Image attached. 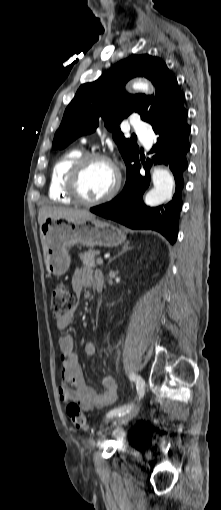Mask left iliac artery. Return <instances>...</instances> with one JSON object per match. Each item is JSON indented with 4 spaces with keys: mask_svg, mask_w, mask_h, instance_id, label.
Returning <instances> with one entry per match:
<instances>
[{
    "mask_svg": "<svg viewBox=\"0 0 221 510\" xmlns=\"http://www.w3.org/2000/svg\"><path fill=\"white\" fill-rule=\"evenodd\" d=\"M129 378L131 381H134L136 383V388L138 392V398L141 399L144 395V382L142 381V378L134 373H131L129 375ZM133 407V404L123 405L121 407L115 408L111 411H109L106 414L107 418L124 415L126 412H128Z\"/></svg>",
    "mask_w": 221,
    "mask_h": 510,
    "instance_id": "44dca946",
    "label": "left iliac artery"
}]
</instances>
